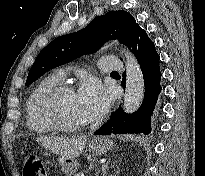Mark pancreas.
Here are the masks:
<instances>
[{
    "instance_id": "pancreas-1",
    "label": "pancreas",
    "mask_w": 205,
    "mask_h": 176,
    "mask_svg": "<svg viewBox=\"0 0 205 176\" xmlns=\"http://www.w3.org/2000/svg\"><path fill=\"white\" fill-rule=\"evenodd\" d=\"M75 176H80V174H77V175H75Z\"/></svg>"
}]
</instances>
